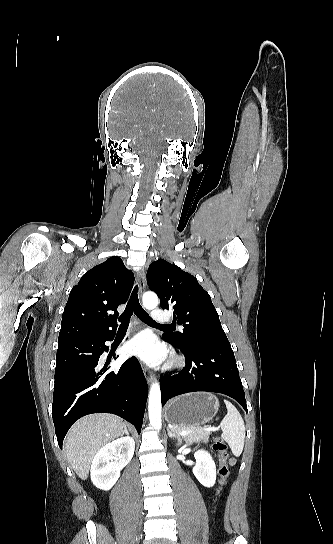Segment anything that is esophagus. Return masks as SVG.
<instances>
[{"mask_svg": "<svg viewBox=\"0 0 333 544\" xmlns=\"http://www.w3.org/2000/svg\"><path fill=\"white\" fill-rule=\"evenodd\" d=\"M138 287H139L138 288L139 296H142L146 288V271L144 268L138 273ZM143 372H144L146 380L149 383H151L154 379L153 374L149 371V369L146 366H143Z\"/></svg>", "mask_w": 333, "mask_h": 544, "instance_id": "obj_1", "label": "esophagus"}]
</instances>
